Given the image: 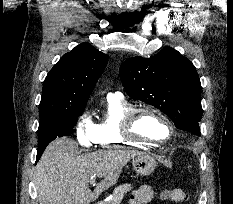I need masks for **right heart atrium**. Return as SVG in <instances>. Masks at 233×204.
Returning a JSON list of instances; mask_svg holds the SVG:
<instances>
[{
  "label": "right heart atrium",
  "mask_w": 233,
  "mask_h": 204,
  "mask_svg": "<svg viewBox=\"0 0 233 204\" xmlns=\"http://www.w3.org/2000/svg\"><path fill=\"white\" fill-rule=\"evenodd\" d=\"M75 135L79 144L84 147H91L96 144L95 124L86 110L77 118Z\"/></svg>",
  "instance_id": "1"
}]
</instances>
